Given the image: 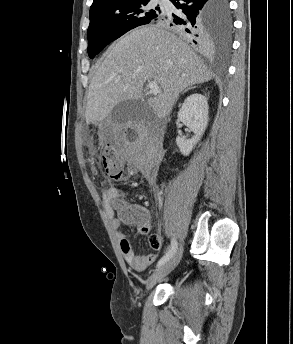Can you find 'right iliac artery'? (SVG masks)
Instances as JSON below:
<instances>
[{"label":"right iliac artery","instance_id":"obj_1","mask_svg":"<svg viewBox=\"0 0 293 344\" xmlns=\"http://www.w3.org/2000/svg\"><path fill=\"white\" fill-rule=\"evenodd\" d=\"M178 248V243L177 241L173 238L171 240V246L169 251L158 261L157 267H160L164 263H166L173 255L175 254L176 250Z\"/></svg>","mask_w":293,"mask_h":344}]
</instances>
